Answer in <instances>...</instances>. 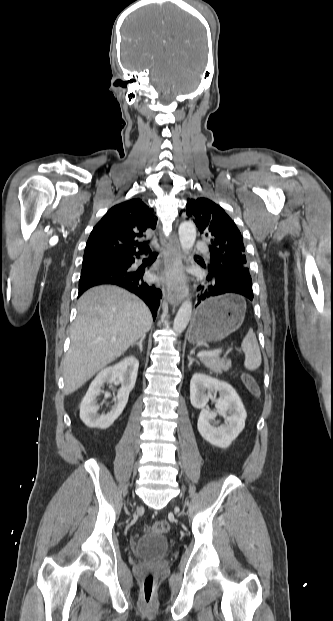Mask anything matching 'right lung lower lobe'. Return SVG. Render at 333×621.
<instances>
[{
    "mask_svg": "<svg viewBox=\"0 0 333 621\" xmlns=\"http://www.w3.org/2000/svg\"><path fill=\"white\" fill-rule=\"evenodd\" d=\"M140 255H125L84 262L79 280L78 297L96 285H118L138 295L148 305L153 319H155L162 292L154 285L147 284L142 280L144 268H139L136 271L131 270L130 266L134 263L135 257L139 258Z\"/></svg>",
    "mask_w": 333,
    "mask_h": 621,
    "instance_id": "right-lung-lower-lobe-1",
    "label": "right lung lower lobe"
}]
</instances>
